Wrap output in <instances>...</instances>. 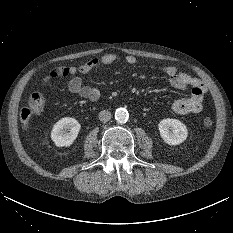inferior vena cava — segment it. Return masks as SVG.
<instances>
[{
  "mask_svg": "<svg viewBox=\"0 0 233 233\" xmlns=\"http://www.w3.org/2000/svg\"><path fill=\"white\" fill-rule=\"evenodd\" d=\"M111 119V113L108 110H103L99 113V120L101 122H108Z\"/></svg>",
  "mask_w": 233,
  "mask_h": 233,
  "instance_id": "602c4592",
  "label": "inferior vena cava"
}]
</instances>
